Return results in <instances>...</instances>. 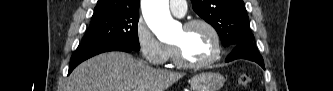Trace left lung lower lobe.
Returning <instances> with one entry per match:
<instances>
[{"mask_svg":"<svg viewBox=\"0 0 333 91\" xmlns=\"http://www.w3.org/2000/svg\"><path fill=\"white\" fill-rule=\"evenodd\" d=\"M232 51L226 58V61H233L235 59H247L258 63L264 68L262 56L259 54L253 42L240 43L231 47Z\"/></svg>","mask_w":333,"mask_h":91,"instance_id":"left-lung-lower-lobe-1","label":"left lung lower lobe"}]
</instances>
